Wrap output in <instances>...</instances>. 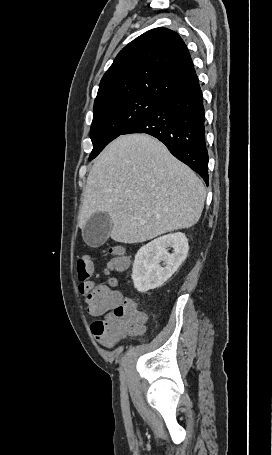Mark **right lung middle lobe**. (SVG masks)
I'll return each instance as SVG.
<instances>
[{
  "mask_svg": "<svg viewBox=\"0 0 272 455\" xmlns=\"http://www.w3.org/2000/svg\"><path fill=\"white\" fill-rule=\"evenodd\" d=\"M163 99L149 96H135L94 107L90 138L93 150L89 160L94 159L102 149L127 128L150 114Z\"/></svg>",
  "mask_w": 272,
  "mask_h": 455,
  "instance_id": "1",
  "label": "right lung middle lobe"
}]
</instances>
